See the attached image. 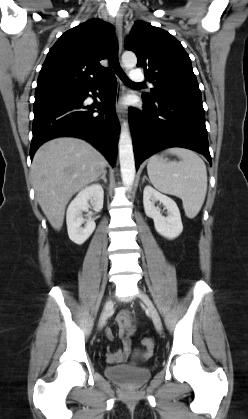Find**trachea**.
<instances>
[{"label": "trachea", "instance_id": "trachea-1", "mask_svg": "<svg viewBox=\"0 0 248 419\" xmlns=\"http://www.w3.org/2000/svg\"><path fill=\"white\" fill-rule=\"evenodd\" d=\"M109 62H110V66L113 67L114 71L116 72V74L119 76V78L127 85H142L139 83H135L132 82L127 75L125 74V72L122 70V68L119 65L118 62V47H117V43L115 42L113 44L112 47V52L109 58Z\"/></svg>", "mask_w": 248, "mask_h": 419}]
</instances>
